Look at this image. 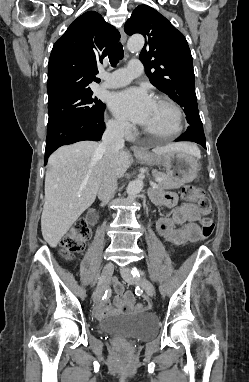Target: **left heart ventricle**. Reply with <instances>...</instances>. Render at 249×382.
Instances as JSON below:
<instances>
[{
    "label": "left heart ventricle",
    "instance_id": "left-heart-ventricle-1",
    "mask_svg": "<svg viewBox=\"0 0 249 382\" xmlns=\"http://www.w3.org/2000/svg\"><path fill=\"white\" fill-rule=\"evenodd\" d=\"M142 126L154 134H169L175 129V115L167 105L155 102L149 117Z\"/></svg>",
    "mask_w": 249,
    "mask_h": 382
}]
</instances>
